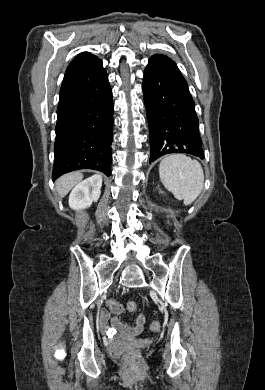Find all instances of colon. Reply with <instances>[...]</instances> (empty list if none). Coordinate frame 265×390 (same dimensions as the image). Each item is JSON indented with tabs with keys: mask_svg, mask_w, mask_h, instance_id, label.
Instances as JSON below:
<instances>
[{
	"mask_svg": "<svg viewBox=\"0 0 265 390\" xmlns=\"http://www.w3.org/2000/svg\"><path fill=\"white\" fill-rule=\"evenodd\" d=\"M107 306L109 310L114 314H121L124 311L123 306L114 299H109L107 301ZM126 308L130 312H135L137 310V304L134 301H129L126 305ZM151 330L158 331L160 329V323L158 321H153L150 326ZM138 356L135 352H130L126 355V360L128 362H135Z\"/></svg>",
	"mask_w": 265,
	"mask_h": 390,
	"instance_id": "obj_1",
	"label": "colon"
}]
</instances>
